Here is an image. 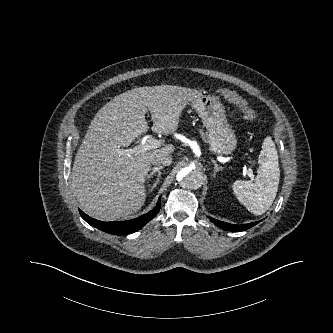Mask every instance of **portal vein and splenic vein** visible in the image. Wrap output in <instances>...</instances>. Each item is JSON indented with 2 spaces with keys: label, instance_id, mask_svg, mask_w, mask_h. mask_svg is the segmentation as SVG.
Masks as SVG:
<instances>
[{
  "label": "portal vein and splenic vein",
  "instance_id": "portal-vein-and-splenic-vein-1",
  "mask_svg": "<svg viewBox=\"0 0 333 333\" xmlns=\"http://www.w3.org/2000/svg\"><path fill=\"white\" fill-rule=\"evenodd\" d=\"M161 141L160 140H156L154 138H149L146 142H142L141 144H139L138 146H135L134 148L132 149H125L124 152L125 153H129L130 151H136L138 153L140 152H146L148 150H151V149H156L158 148L159 146H161ZM246 174L251 178L253 179L254 178V174L252 172L251 169L247 170Z\"/></svg>",
  "mask_w": 333,
  "mask_h": 333
}]
</instances>
